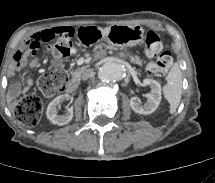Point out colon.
I'll use <instances>...</instances> for the list:
<instances>
[{
    "instance_id": "colon-1",
    "label": "colon",
    "mask_w": 215,
    "mask_h": 183,
    "mask_svg": "<svg viewBox=\"0 0 215 183\" xmlns=\"http://www.w3.org/2000/svg\"><path fill=\"white\" fill-rule=\"evenodd\" d=\"M73 31L58 33L54 38L56 42L53 46V55L61 58L69 57L76 52L73 43ZM53 38V39H54ZM34 47V48H32ZM41 47V42L36 39L29 42L22 52L24 56L37 55ZM144 52L154 58L147 66L148 71L155 75H162L168 71L173 63L172 54L169 51L162 50V42L159 35L154 31H148L144 39ZM67 83V77L63 71H53L44 73L38 81L40 91L46 96H52L61 92ZM13 110L16 119L24 126H35L42 115V100L34 95L29 94L13 103Z\"/></svg>"
}]
</instances>
